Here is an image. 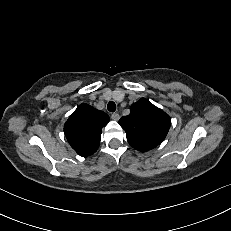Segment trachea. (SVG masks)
I'll return each mask as SVG.
<instances>
[{
	"label": "trachea",
	"instance_id": "1",
	"mask_svg": "<svg viewBox=\"0 0 231 231\" xmlns=\"http://www.w3.org/2000/svg\"><path fill=\"white\" fill-rule=\"evenodd\" d=\"M107 109L110 112H115L116 110V104L113 101H110L107 105Z\"/></svg>",
	"mask_w": 231,
	"mask_h": 231
}]
</instances>
